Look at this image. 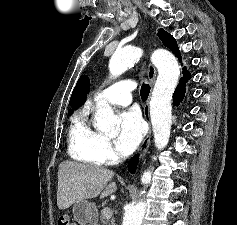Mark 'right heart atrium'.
I'll return each instance as SVG.
<instances>
[{
	"label": "right heart atrium",
	"instance_id": "d8ad5b80",
	"mask_svg": "<svg viewBox=\"0 0 237 225\" xmlns=\"http://www.w3.org/2000/svg\"><path fill=\"white\" fill-rule=\"evenodd\" d=\"M97 155L102 163L111 164L116 161L117 154L112 146V143L106 137H101L96 144Z\"/></svg>",
	"mask_w": 237,
	"mask_h": 225
}]
</instances>
